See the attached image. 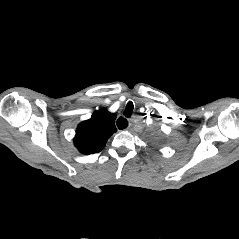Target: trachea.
I'll list each match as a JSON object with an SVG mask.
<instances>
[{
	"instance_id": "1",
	"label": "trachea",
	"mask_w": 239,
	"mask_h": 239,
	"mask_svg": "<svg viewBox=\"0 0 239 239\" xmlns=\"http://www.w3.org/2000/svg\"><path fill=\"white\" fill-rule=\"evenodd\" d=\"M132 112H133V103L129 101L126 105L124 115L129 118L132 115Z\"/></svg>"
}]
</instances>
